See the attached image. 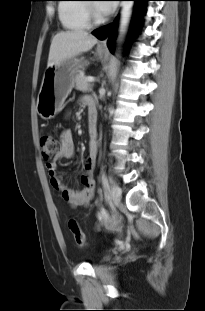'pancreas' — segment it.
I'll return each instance as SVG.
<instances>
[{
  "label": "pancreas",
  "mask_w": 205,
  "mask_h": 311,
  "mask_svg": "<svg viewBox=\"0 0 205 311\" xmlns=\"http://www.w3.org/2000/svg\"><path fill=\"white\" fill-rule=\"evenodd\" d=\"M75 88L82 92L91 90V84L87 81V77L83 73H79L74 78Z\"/></svg>",
  "instance_id": "cf45deb5"
}]
</instances>
